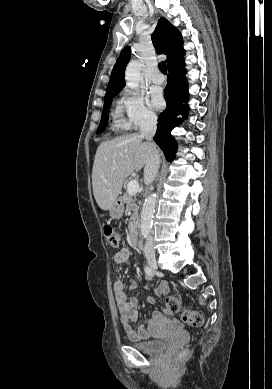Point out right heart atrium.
<instances>
[{
	"instance_id": "1",
	"label": "right heart atrium",
	"mask_w": 272,
	"mask_h": 389,
	"mask_svg": "<svg viewBox=\"0 0 272 389\" xmlns=\"http://www.w3.org/2000/svg\"><path fill=\"white\" fill-rule=\"evenodd\" d=\"M119 109L126 116L131 128H145L156 123V115L150 108L146 97L136 91L125 89L121 92Z\"/></svg>"
}]
</instances>
